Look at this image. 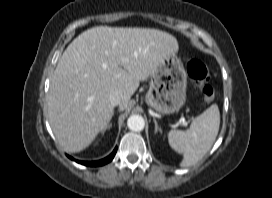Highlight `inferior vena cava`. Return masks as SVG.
<instances>
[{"instance_id": "1", "label": "inferior vena cava", "mask_w": 272, "mask_h": 198, "mask_svg": "<svg viewBox=\"0 0 272 198\" xmlns=\"http://www.w3.org/2000/svg\"><path fill=\"white\" fill-rule=\"evenodd\" d=\"M109 101L113 107L120 105L121 96L118 92H113L109 96Z\"/></svg>"}]
</instances>
